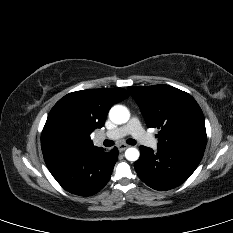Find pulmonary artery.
I'll list each match as a JSON object with an SVG mask.
<instances>
[{
  "mask_svg": "<svg viewBox=\"0 0 233 233\" xmlns=\"http://www.w3.org/2000/svg\"><path fill=\"white\" fill-rule=\"evenodd\" d=\"M127 135H132L135 139H137L141 144L145 146L151 148L157 147V140L141 127V124L137 118H132L126 125L106 132L104 134V137L115 140Z\"/></svg>",
  "mask_w": 233,
  "mask_h": 233,
  "instance_id": "e3ab8cb5",
  "label": "pulmonary artery"
}]
</instances>
